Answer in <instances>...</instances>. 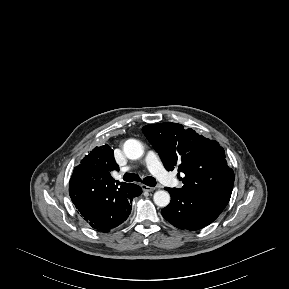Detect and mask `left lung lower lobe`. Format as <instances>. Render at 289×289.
I'll use <instances>...</instances> for the list:
<instances>
[{
  "label": "left lung lower lobe",
  "instance_id": "1",
  "mask_svg": "<svg viewBox=\"0 0 289 289\" xmlns=\"http://www.w3.org/2000/svg\"><path fill=\"white\" fill-rule=\"evenodd\" d=\"M171 195L170 204L161 210L163 217L179 229L191 231L211 224L223 211L215 204L199 197L165 188Z\"/></svg>",
  "mask_w": 289,
  "mask_h": 289
}]
</instances>
